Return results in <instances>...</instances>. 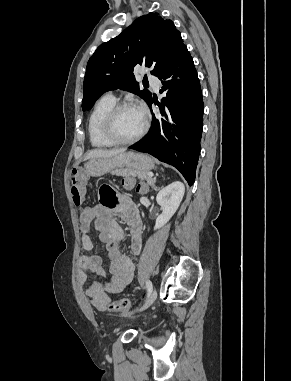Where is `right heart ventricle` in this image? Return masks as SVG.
Listing matches in <instances>:
<instances>
[{
  "mask_svg": "<svg viewBox=\"0 0 291 381\" xmlns=\"http://www.w3.org/2000/svg\"><path fill=\"white\" fill-rule=\"evenodd\" d=\"M116 104L115 98L101 97L94 105L88 119V135L94 148H109L114 146L101 132V122L105 114Z\"/></svg>",
  "mask_w": 291,
  "mask_h": 381,
  "instance_id": "1",
  "label": "right heart ventricle"
}]
</instances>
